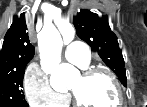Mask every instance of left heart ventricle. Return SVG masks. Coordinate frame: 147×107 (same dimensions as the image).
I'll return each instance as SVG.
<instances>
[{
  "label": "left heart ventricle",
  "instance_id": "obj_1",
  "mask_svg": "<svg viewBox=\"0 0 147 107\" xmlns=\"http://www.w3.org/2000/svg\"><path fill=\"white\" fill-rule=\"evenodd\" d=\"M70 89L88 107H112L116 102L115 87L103 74L90 79L79 76L71 83Z\"/></svg>",
  "mask_w": 147,
  "mask_h": 107
}]
</instances>
